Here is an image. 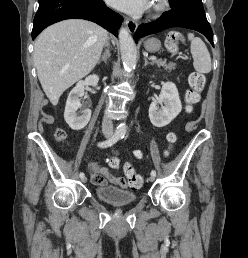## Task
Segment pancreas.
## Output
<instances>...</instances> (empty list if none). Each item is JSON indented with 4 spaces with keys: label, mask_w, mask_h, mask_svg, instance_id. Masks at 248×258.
I'll return each mask as SVG.
<instances>
[{
    "label": "pancreas",
    "mask_w": 248,
    "mask_h": 258,
    "mask_svg": "<svg viewBox=\"0 0 248 258\" xmlns=\"http://www.w3.org/2000/svg\"><path fill=\"white\" fill-rule=\"evenodd\" d=\"M152 64H156V65H158L159 67L162 66V67H164L166 70H169V71L175 69V64H173V63L166 64V62L163 61V60H161V59L152 61Z\"/></svg>",
    "instance_id": "pancreas-1"
}]
</instances>
